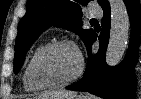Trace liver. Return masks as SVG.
Here are the masks:
<instances>
[{"mask_svg": "<svg viewBox=\"0 0 141 99\" xmlns=\"http://www.w3.org/2000/svg\"><path fill=\"white\" fill-rule=\"evenodd\" d=\"M76 92L74 91H48L39 96L43 99H74Z\"/></svg>", "mask_w": 141, "mask_h": 99, "instance_id": "liver-1", "label": "liver"}]
</instances>
